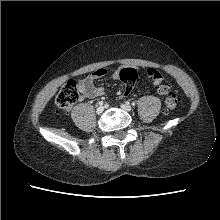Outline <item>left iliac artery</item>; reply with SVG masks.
Here are the masks:
<instances>
[{"mask_svg": "<svg viewBox=\"0 0 220 220\" xmlns=\"http://www.w3.org/2000/svg\"><path fill=\"white\" fill-rule=\"evenodd\" d=\"M136 105V103L135 102H132V106H135Z\"/></svg>", "mask_w": 220, "mask_h": 220, "instance_id": "obj_1", "label": "left iliac artery"}]
</instances>
